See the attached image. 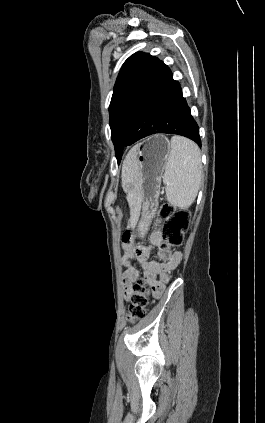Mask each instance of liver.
Returning <instances> with one entry per match:
<instances>
[{"mask_svg": "<svg viewBox=\"0 0 265 423\" xmlns=\"http://www.w3.org/2000/svg\"><path fill=\"white\" fill-rule=\"evenodd\" d=\"M135 147L128 153L122 167V183H136L138 181V169L135 160ZM137 221L136 214L131 213V226H134Z\"/></svg>", "mask_w": 265, "mask_h": 423, "instance_id": "6515ba94", "label": "liver"}]
</instances>
